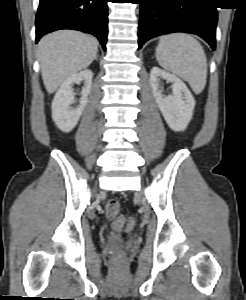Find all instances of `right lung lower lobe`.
Returning <instances> with one entry per match:
<instances>
[{
    "mask_svg": "<svg viewBox=\"0 0 246 300\" xmlns=\"http://www.w3.org/2000/svg\"><path fill=\"white\" fill-rule=\"evenodd\" d=\"M108 0H40L36 15V43L50 32L75 29L98 38L106 50Z\"/></svg>",
    "mask_w": 246,
    "mask_h": 300,
    "instance_id": "right-lung-lower-lobe-1",
    "label": "right lung lower lobe"
}]
</instances>
